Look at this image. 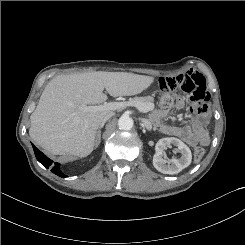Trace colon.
<instances>
[{
	"instance_id": "obj_1",
	"label": "colon",
	"mask_w": 245,
	"mask_h": 245,
	"mask_svg": "<svg viewBox=\"0 0 245 245\" xmlns=\"http://www.w3.org/2000/svg\"><path fill=\"white\" fill-rule=\"evenodd\" d=\"M175 97L171 94V90L163 91L161 90L160 95V105L164 109H169L175 104ZM205 156V149L202 147H196L193 152V157L196 162H199Z\"/></svg>"
}]
</instances>
